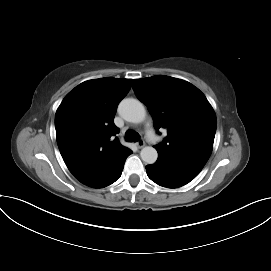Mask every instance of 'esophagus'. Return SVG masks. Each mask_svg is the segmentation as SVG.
<instances>
[{"label": "esophagus", "mask_w": 271, "mask_h": 271, "mask_svg": "<svg viewBox=\"0 0 271 271\" xmlns=\"http://www.w3.org/2000/svg\"><path fill=\"white\" fill-rule=\"evenodd\" d=\"M136 145H137L138 148H143L145 146V142H144V140H139L136 143Z\"/></svg>", "instance_id": "obj_1"}]
</instances>
